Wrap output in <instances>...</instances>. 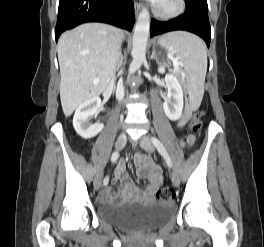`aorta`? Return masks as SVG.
<instances>
[{"label":"aorta","mask_w":264,"mask_h":247,"mask_svg":"<svg viewBox=\"0 0 264 247\" xmlns=\"http://www.w3.org/2000/svg\"><path fill=\"white\" fill-rule=\"evenodd\" d=\"M150 30V14L147 9H143L137 18L132 47V62L129 66V74L135 73L146 59V46Z\"/></svg>","instance_id":"aorta-1"}]
</instances>
